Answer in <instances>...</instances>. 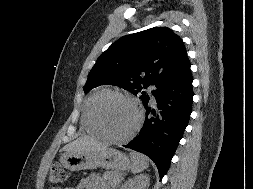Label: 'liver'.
<instances>
[{
  "instance_id": "obj_1",
  "label": "liver",
  "mask_w": 253,
  "mask_h": 189,
  "mask_svg": "<svg viewBox=\"0 0 253 189\" xmlns=\"http://www.w3.org/2000/svg\"><path fill=\"white\" fill-rule=\"evenodd\" d=\"M106 149H107V145L102 144L91 137L84 136L65 145L62 148V151H66L68 153H77V152L99 153Z\"/></svg>"
}]
</instances>
